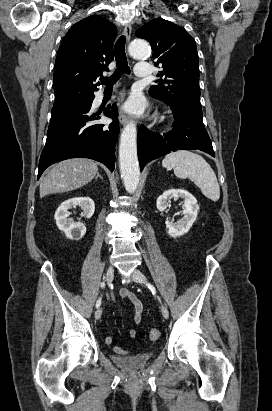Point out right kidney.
Wrapping results in <instances>:
<instances>
[{"label": "right kidney", "mask_w": 272, "mask_h": 411, "mask_svg": "<svg viewBox=\"0 0 272 411\" xmlns=\"http://www.w3.org/2000/svg\"><path fill=\"white\" fill-rule=\"evenodd\" d=\"M79 206L82 209V216L89 219L95 211L94 201L89 197H75L61 203L55 212V220L58 228L63 231L67 238L80 240L86 233V227L82 222H74L69 218L68 210Z\"/></svg>", "instance_id": "1"}]
</instances>
